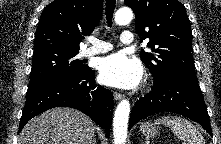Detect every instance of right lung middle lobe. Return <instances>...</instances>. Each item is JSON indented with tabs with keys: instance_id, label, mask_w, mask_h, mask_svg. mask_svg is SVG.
Listing matches in <instances>:
<instances>
[{
	"instance_id": "right-lung-middle-lobe-1",
	"label": "right lung middle lobe",
	"mask_w": 221,
	"mask_h": 144,
	"mask_svg": "<svg viewBox=\"0 0 221 144\" xmlns=\"http://www.w3.org/2000/svg\"><path fill=\"white\" fill-rule=\"evenodd\" d=\"M78 53L62 50H46L34 53L28 87L55 75L85 71L87 67L83 62L75 59Z\"/></svg>"
}]
</instances>
